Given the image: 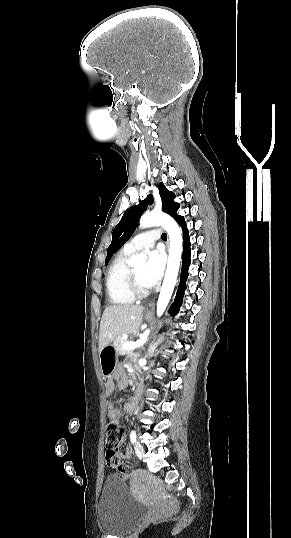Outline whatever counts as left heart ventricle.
I'll use <instances>...</instances> for the list:
<instances>
[{"mask_svg":"<svg viewBox=\"0 0 291 538\" xmlns=\"http://www.w3.org/2000/svg\"><path fill=\"white\" fill-rule=\"evenodd\" d=\"M144 270H145V266H143V265L133 268L134 274L137 277L140 285L143 288L148 289L149 287L147 286V284H146V282L144 280Z\"/></svg>","mask_w":291,"mask_h":538,"instance_id":"b2bd125f","label":"left heart ventricle"}]
</instances>
